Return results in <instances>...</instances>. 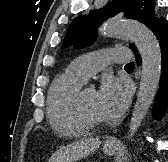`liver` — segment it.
<instances>
[{"label":"liver","instance_id":"1","mask_svg":"<svg viewBox=\"0 0 168 162\" xmlns=\"http://www.w3.org/2000/svg\"><path fill=\"white\" fill-rule=\"evenodd\" d=\"M101 144L99 138H86L59 148L48 162H75L96 151Z\"/></svg>","mask_w":168,"mask_h":162}]
</instances>
